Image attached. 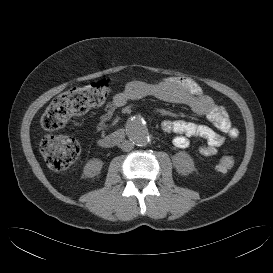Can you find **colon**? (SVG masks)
Returning a JSON list of instances; mask_svg holds the SVG:
<instances>
[{
	"label": "colon",
	"instance_id": "obj_1",
	"mask_svg": "<svg viewBox=\"0 0 273 273\" xmlns=\"http://www.w3.org/2000/svg\"><path fill=\"white\" fill-rule=\"evenodd\" d=\"M113 91L110 80H101L83 88L70 90L54 99L44 111L41 124L46 130L63 128L70 118L103 105ZM41 153L48 167L55 171L70 167L80 155L78 142L68 136H49L42 140ZM233 152L222 153L217 160V169L227 171L234 166Z\"/></svg>",
	"mask_w": 273,
	"mask_h": 273
}]
</instances>
